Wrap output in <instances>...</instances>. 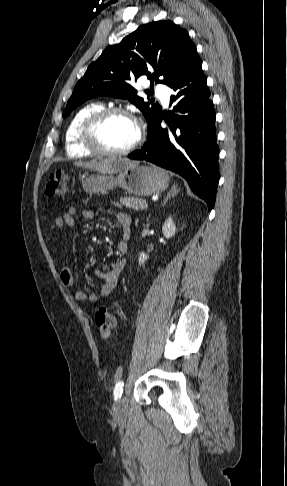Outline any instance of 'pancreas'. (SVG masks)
Listing matches in <instances>:
<instances>
[{
  "mask_svg": "<svg viewBox=\"0 0 287 486\" xmlns=\"http://www.w3.org/2000/svg\"><path fill=\"white\" fill-rule=\"evenodd\" d=\"M120 203L135 211L143 210L142 205L147 204L146 200L137 197H121Z\"/></svg>",
  "mask_w": 287,
  "mask_h": 486,
  "instance_id": "cf45deb5",
  "label": "pancreas"
}]
</instances>
